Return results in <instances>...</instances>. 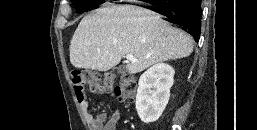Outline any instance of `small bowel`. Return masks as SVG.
Masks as SVG:
<instances>
[{"label":"small bowel","mask_w":257,"mask_h":130,"mask_svg":"<svg viewBox=\"0 0 257 130\" xmlns=\"http://www.w3.org/2000/svg\"><path fill=\"white\" fill-rule=\"evenodd\" d=\"M78 102L90 130H116L121 117L119 110H115L110 117L105 114L95 117L89 112V103L85 97Z\"/></svg>","instance_id":"obj_1"}]
</instances>
